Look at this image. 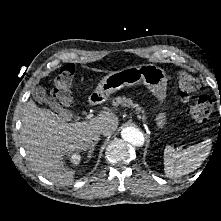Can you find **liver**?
Segmentation results:
<instances>
[{
	"label": "liver",
	"mask_w": 221,
	"mask_h": 221,
	"mask_svg": "<svg viewBox=\"0 0 221 221\" xmlns=\"http://www.w3.org/2000/svg\"><path fill=\"white\" fill-rule=\"evenodd\" d=\"M21 123L22 143L34 170L55 183L67 184L75 173L64 166V157L90 148L96 130H106L105 136L113 134L119 120L115 114L101 111L89 121L68 122L30 100L23 109Z\"/></svg>",
	"instance_id": "liver-1"
}]
</instances>
